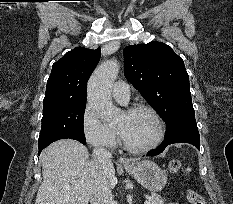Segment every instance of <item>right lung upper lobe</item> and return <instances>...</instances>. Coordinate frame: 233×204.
<instances>
[{
	"mask_svg": "<svg viewBox=\"0 0 233 204\" xmlns=\"http://www.w3.org/2000/svg\"><path fill=\"white\" fill-rule=\"evenodd\" d=\"M100 56V48L78 47L67 52L53 64L43 103L86 100V84Z\"/></svg>",
	"mask_w": 233,
	"mask_h": 204,
	"instance_id": "right-lung-upper-lobe-1",
	"label": "right lung upper lobe"
}]
</instances>
